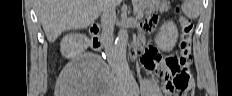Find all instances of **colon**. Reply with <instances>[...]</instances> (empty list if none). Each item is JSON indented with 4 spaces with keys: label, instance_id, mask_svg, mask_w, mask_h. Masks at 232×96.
Returning <instances> with one entry per match:
<instances>
[{
    "label": "colon",
    "instance_id": "5ec220e1",
    "mask_svg": "<svg viewBox=\"0 0 232 96\" xmlns=\"http://www.w3.org/2000/svg\"><path fill=\"white\" fill-rule=\"evenodd\" d=\"M178 12L179 9L177 8ZM181 39L179 53L167 58L164 67V86L167 93L173 96L192 95L193 88L189 82V70L191 58V41L194 30L193 22L186 17L180 18Z\"/></svg>",
    "mask_w": 232,
    "mask_h": 96
}]
</instances>
